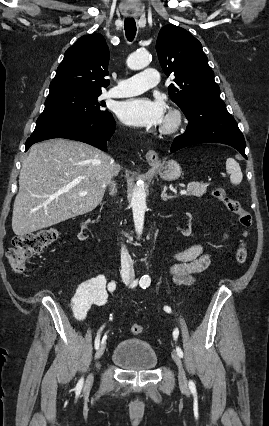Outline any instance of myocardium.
I'll return each instance as SVG.
<instances>
[{"label": "myocardium", "mask_w": 269, "mask_h": 426, "mask_svg": "<svg viewBox=\"0 0 269 426\" xmlns=\"http://www.w3.org/2000/svg\"><path fill=\"white\" fill-rule=\"evenodd\" d=\"M184 124V115L178 109H172L167 114L164 125L162 127V134L172 135L177 133Z\"/></svg>", "instance_id": "obj_1"}]
</instances>
